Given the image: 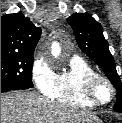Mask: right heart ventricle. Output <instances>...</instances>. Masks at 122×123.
<instances>
[{
	"label": "right heart ventricle",
	"instance_id": "e07e8e85",
	"mask_svg": "<svg viewBox=\"0 0 122 123\" xmlns=\"http://www.w3.org/2000/svg\"><path fill=\"white\" fill-rule=\"evenodd\" d=\"M96 70L79 56L73 57L68 68L56 74L55 88L52 98L57 102L77 108H93L96 105L87 101L81 93L84 79Z\"/></svg>",
	"mask_w": 122,
	"mask_h": 123
}]
</instances>
